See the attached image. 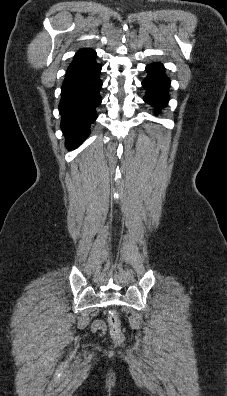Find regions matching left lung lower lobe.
<instances>
[{"instance_id": "obj_1", "label": "left lung lower lobe", "mask_w": 227, "mask_h": 396, "mask_svg": "<svg viewBox=\"0 0 227 396\" xmlns=\"http://www.w3.org/2000/svg\"><path fill=\"white\" fill-rule=\"evenodd\" d=\"M146 71L149 74L142 81V86L146 89L144 101L160 110L168 102L170 80L165 75L164 66L161 63L148 65Z\"/></svg>"}]
</instances>
